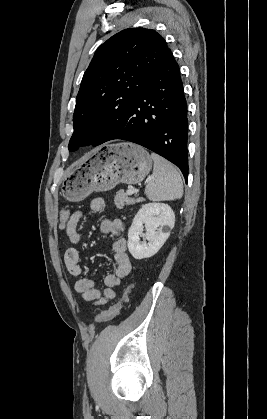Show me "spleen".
<instances>
[{"label": "spleen", "mask_w": 267, "mask_h": 419, "mask_svg": "<svg viewBox=\"0 0 267 419\" xmlns=\"http://www.w3.org/2000/svg\"><path fill=\"white\" fill-rule=\"evenodd\" d=\"M151 157L154 161L153 180L146 185V197L152 201L180 199L183 182L178 170L156 153H151Z\"/></svg>", "instance_id": "3e777b00"}]
</instances>
